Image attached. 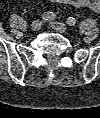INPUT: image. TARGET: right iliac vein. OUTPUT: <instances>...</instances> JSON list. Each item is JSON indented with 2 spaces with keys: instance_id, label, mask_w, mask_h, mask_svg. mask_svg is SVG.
Wrapping results in <instances>:
<instances>
[{
  "instance_id": "1",
  "label": "right iliac vein",
  "mask_w": 100,
  "mask_h": 118,
  "mask_svg": "<svg viewBox=\"0 0 100 118\" xmlns=\"http://www.w3.org/2000/svg\"><path fill=\"white\" fill-rule=\"evenodd\" d=\"M42 26V22L40 20H35L31 24V29L33 31H38Z\"/></svg>"
}]
</instances>
